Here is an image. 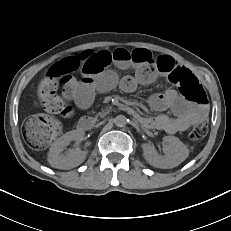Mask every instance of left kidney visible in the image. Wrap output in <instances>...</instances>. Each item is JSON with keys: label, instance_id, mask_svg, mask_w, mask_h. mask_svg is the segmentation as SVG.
<instances>
[{"label": "left kidney", "instance_id": "5707ae66", "mask_svg": "<svg viewBox=\"0 0 231 231\" xmlns=\"http://www.w3.org/2000/svg\"><path fill=\"white\" fill-rule=\"evenodd\" d=\"M163 152L164 156L158 155L154 146L150 144H143L144 158L146 161L158 168H174L182 163L189 155V150L175 136H165L163 138Z\"/></svg>", "mask_w": 231, "mask_h": 231}]
</instances>
